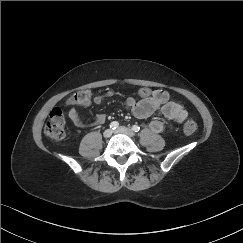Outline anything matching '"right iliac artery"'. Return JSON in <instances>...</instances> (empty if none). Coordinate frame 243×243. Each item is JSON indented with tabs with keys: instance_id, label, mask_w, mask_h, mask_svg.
Here are the masks:
<instances>
[{
	"instance_id": "obj_1",
	"label": "right iliac artery",
	"mask_w": 243,
	"mask_h": 243,
	"mask_svg": "<svg viewBox=\"0 0 243 243\" xmlns=\"http://www.w3.org/2000/svg\"><path fill=\"white\" fill-rule=\"evenodd\" d=\"M109 126H110L111 129L114 130L119 126V123L117 121H113V122L110 123Z\"/></svg>"
}]
</instances>
